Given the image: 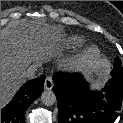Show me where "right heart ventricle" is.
<instances>
[{
  "label": "right heart ventricle",
  "mask_w": 123,
  "mask_h": 123,
  "mask_svg": "<svg viewBox=\"0 0 123 123\" xmlns=\"http://www.w3.org/2000/svg\"><path fill=\"white\" fill-rule=\"evenodd\" d=\"M83 39L77 36L70 37L66 40L65 45L67 48L73 49L82 45Z\"/></svg>",
  "instance_id": "1"
}]
</instances>
